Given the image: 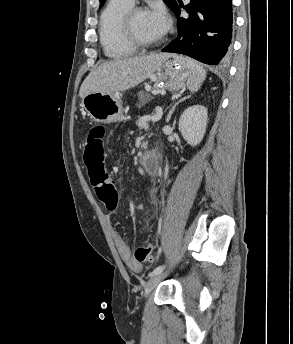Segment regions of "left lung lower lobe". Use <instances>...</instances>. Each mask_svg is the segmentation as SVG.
<instances>
[{
    "label": "left lung lower lobe",
    "instance_id": "0a47b994",
    "mask_svg": "<svg viewBox=\"0 0 293 344\" xmlns=\"http://www.w3.org/2000/svg\"><path fill=\"white\" fill-rule=\"evenodd\" d=\"M178 2L172 9L177 17L178 37L162 51L188 55L209 65L226 63L233 31L231 0H191L185 7ZM179 6L189 13L188 19L180 17Z\"/></svg>",
    "mask_w": 293,
    "mask_h": 344
}]
</instances>
